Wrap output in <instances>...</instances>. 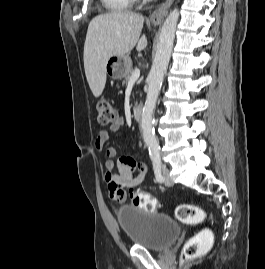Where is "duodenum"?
<instances>
[{
  "label": "duodenum",
  "mask_w": 265,
  "mask_h": 269,
  "mask_svg": "<svg viewBox=\"0 0 265 269\" xmlns=\"http://www.w3.org/2000/svg\"><path fill=\"white\" fill-rule=\"evenodd\" d=\"M143 106L142 105H137L134 110H133V117L136 121H140L143 116Z\"/></svg>",
  "instance_id": "410a0bca"
}]
</instances>
